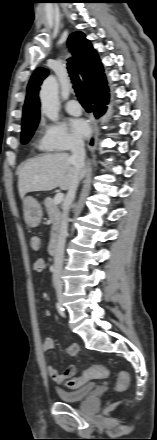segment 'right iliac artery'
Masks as SVG:
<instances>
[{"label":"right iliac artery","mask_w":157,"mask_h":440,"mask_svg":"<svg viewBox=\"0 0 157 440\" xmlns=\"http://www.w3.org/2000/svg\"><path fill=\"white\" fill-rule=\"evenodd\" d=\"M56 308L61 316H64V309L61 307L59 303H56Z\"/></svg>","instance_id":"right-iliac-artery-1"}]
</instances>
